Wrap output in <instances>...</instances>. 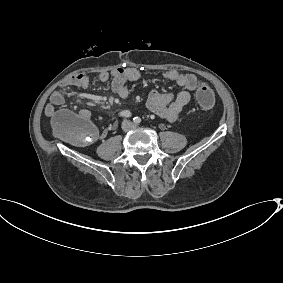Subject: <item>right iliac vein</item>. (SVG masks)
<instances>
[{"label": "right iliac vein", "mask_w": 283, "mask_h": 283, "mask_svg": "<svg viewBox=\"0 0 283 283\" xmlns=\"http://www.w3.org/2000/svg\"><path fill=\"white\" fill-rule=\"evenodd\" d=\"M122 129H123L124 132H127L130 129V123L128 121H125L122 124Z\"/></svg>", "instance_id": "right-iliac-vein-1"}]
</instances>
